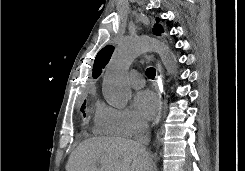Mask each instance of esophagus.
<instances>
[{"mask_svg":"<svg viewBox=\"0 0 245 171\" xmlns=\"http://www.w3.org/2000/svg\"><path fill=\"white\" fill-rule=\"evenodd\" d=\"M154 85L159 102V109L155 118V125H158L161 120L163 106L166 103V93L163 82V69L159 63L156 65V78L154 81Z\"/></svg>","mask_w":245,"mask_h":171,"instance_id":"34e87169","label":"esophagus"}]
</instances>
